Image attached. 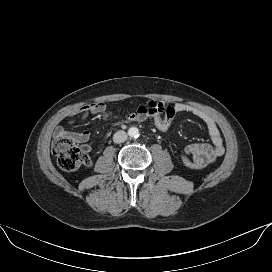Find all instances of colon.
Masks as SVG:
<instances>
[{"mask_svg":"<svg viewBox=\"0 0 272 272\" xmlns=\"http://www.w3.org/2000/svg\"><path fill=\"white\" fill-rule=\"evenodd\" d=\"M175 114V108L167 105L162 110H144L141 112L140 118L151 122L158 130L166 131L171 127ZM52 152L58 165L66 171H73L80 166L89 165L91 162L85 150L78 146L72 138L65 135L57 136L54 139ZM180 158L183 164L189 168H203L202 163L183 153H181Z\"/></svg>","mask_w":272,"mask_h":272,"instance_id":"5ec220e1","label":"colon"}]
</instances>
